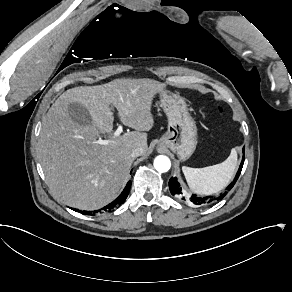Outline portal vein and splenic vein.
I'll use <instances>...</instances> for the list:
<instances>
[{
    "label": "portal vein and splenic vein",
    "mask_w": 292,
    "mask_h": 292,
    "mask_svg": "<svg viewBox=\"0 0 292 292\" xmlns=\"http://www.w3.org/2000/svg\"><path fill=\"white\" fill-rule=\"evenodd\" d=\"M122 131H123L122 126H119L117 130L114 132V136L115 137L119 136L122 133ZM111 142H112L111 140H102V139L97 140V143L100 145H108Z\"/></svg>",
    "instance_id": "portal-vein-and-splenic-vein-1"
}]
</instances>
